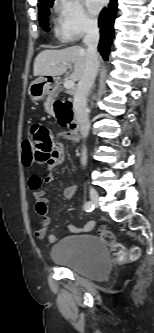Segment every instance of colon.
<instances>
[{
    "label": "colon",
    "instance_id": "5ec220e1",
    "mask_svg": "<svg viewBox=\"0 0 154 333\" xmlns=\"http://www.w3.org/2000/svg\"><path fill=\"white\" fill-rule=\"evenodd\" d=\"M55 111L61 124L68 126L72 115L69 105L63 101H57L55 103ZM22 161L25 165H30L35 161L34 144L30 137L25 138L22 142ZM99 238L110 248L117 262L126 263L135 260L140 254L138 247L127 249L108 229H101L99 231Z\"/></svg>",
    "mask_w": 154,
    "mask_h": 333
}]
</instances>
